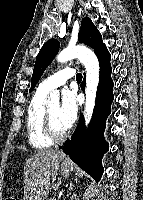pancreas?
<instances>
[{
    "label": "pancreas",
    "mask_w": 143,
    "mask_h": 200,
    "mask_svg": "<svg viewBox=\"0 0 143 200\" xmlns=\"http://www.w3.org/2000/svg\"><path fill=\"white\" fill-rule=\"evenodd\" d=\"M49 200H56V199H54V198H51V199H49Z\"/></svg>",
    "instance_id": "cf45deb5"
}]
</instances>
